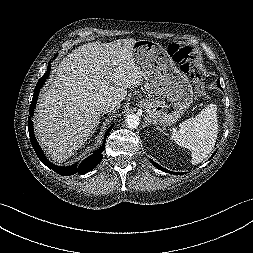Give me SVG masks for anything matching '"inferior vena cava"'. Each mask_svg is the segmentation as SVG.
Here are the masks:
<instances>
[{"label": "inferior vena cava", "instance_id": "602c4592", "mask_svg": "<svg viewBox=\"0 0 253 253\" xmlns=\"http://www.w3.org/2000/svg\"><path fill=\"white\" fill-rule=\"evenodd\" d=\"M120 108V101L116 99H109L102 102L100 111L102 113H108Z\"/></svg>", "mask_w": 253, "mask_h": 253}]
</instances>
